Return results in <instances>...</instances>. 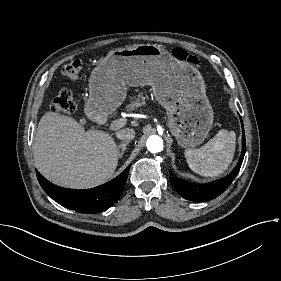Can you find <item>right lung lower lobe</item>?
Listing matches in <instances>:
<instances>
[{
    "mask_svg": "<svg viewBox=\"0 0 281 281\" xmlns=\"http://www.w3.org/2000/svg\"><path fill=\"white\" fill-rule=\"evenodd\" d=\"M129 169L130 165L110 182L88 190L57 187L39 172H37V178L45 192L60 205L80 213H97L117 202L123 192Z\"/></svg>",
    "mask_w": 281,
    "mask_h": 281,
    "instance_id": "98d812e1",
    "label": "right lung lower lobe"
}]
</instances>
